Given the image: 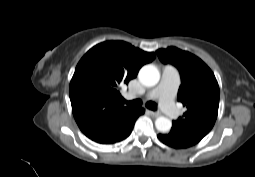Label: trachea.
Wrapping results in <instances>:
<instances>
[{"mask_svg": "<svg viewBox=\"0 0 255 177\" xmlns=\"http://www.w3.org/2000/svg\"><path fill=\"white\" fill-rule=\"evenodd\" d=\"M123 103L129 105L130 107H140L142 105V101L140 99H136L132 101L123 100ZM146 107L153 111L157 110V104L151 101L146 103Z\"/></svg>", "mask_w": 255, "mask_h": 177, "instance_id": "obj_1", "label": "trachea"}]
</instances>
